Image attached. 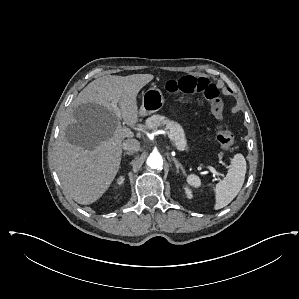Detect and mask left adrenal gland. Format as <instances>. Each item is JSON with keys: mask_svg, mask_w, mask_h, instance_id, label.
<instances>
[{"mask_svg": "<svg viewBox=\"0 0 299 299\" xmlns=\"http://www.w3.org/2000/svg\"><path fill=\"white\" fill-rule=\"evenodd\" d=\"M172 160H173V162L175 164V167L177 169V173L179 172V169H180L182 171V173L185 174V170H184L183 166L181 165V163L178 162V160L174 157H172Z\"/></svg>", "mask_w": 299, "mask_h": 299, "instance_id": "obj_1", "label": "left adrenal gland"}]
</instances>
